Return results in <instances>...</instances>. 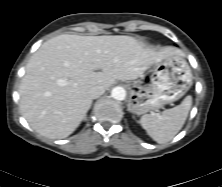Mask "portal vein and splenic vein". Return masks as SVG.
Here are the masks:
<instances>
[{
  "label": "portal vein and splenic vein",
  "instance_id": "1",
  "mask_svg": "<svg viewBox=\"0 0 222 187\" xmlns=\"http://www.w3.org/2000/svg\"><path fill=\"white\" fill-rule=\"evenodd\" d=\"M57 82H58V84H60V85H65V84H66V81H65V80H62V79H59Z\"/></svg>",
  "mask_w": 222,
  "mask_h": 187
}]
</instances>
